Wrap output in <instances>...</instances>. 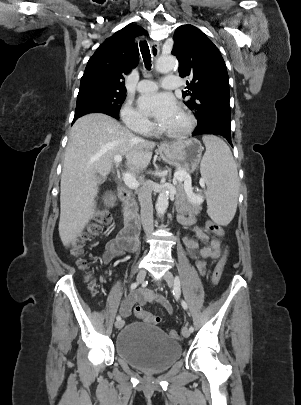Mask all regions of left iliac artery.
<instances>
[{
    "mask_svg": "<svg viewBox=\"0 0 301 405\" xmlns=\"http://www.w3.org/2000/svg\"><path fill=\"white\" fill-rule=\"evenodd\" d=\"M180 292H181V290H180V279H179L178 276H176V277H175V282H174L173 294H174L175 296H179V295H180ZM181 304H182V307H183L184 309H187V308H188L187 303H186L184 300L181 301ZM189 331H190V332H193V331H194L193 326H190V327H189Z\"/></svg>",
    "mask_w": 301,
    "mask_h": 405,
    "instance_id": "obj_1",
    "label": "left iliac artery"
}]
</instances>
